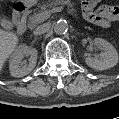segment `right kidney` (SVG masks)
<instances>
[{
    "label": "right kidney",
    "mask_w": 119,
    "mask_h": 119,
    "mask_svg": "<svg viewBox=\"0 0 119 119\" xmlns=\"http://www.w3.org/2000/svg\"><path fill=\"white\" fill-rule=\"evenodd\" d=\"M37 54L38 52L35 48L28 47L27 45H20L10 59L9 68L11 75L19 78L29 74L36 66ZM28 55L30 56V59L29 64L27 65L24 62H21V60L24 56Z\"/></svg>",
    "instance_id": "obj_1"
}]
</instances>
